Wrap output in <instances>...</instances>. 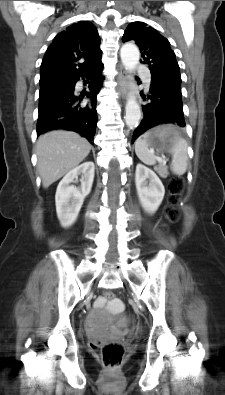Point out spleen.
Masks as SVG:
<instances>
[{"instance_id": "spleen-1", "label": "spleen", "mask_w": 225, "mask_h": 395, "mask_svg": "<svg viewBox=\"0 0 225 395\" xmlns=\"http://www.w3.org/2000/svg\"><path fill=\"white\" fill-rule=\"evenodd\" d=\"M149 132L140 136L135 142V153L137 157L147 165L156 164V156L153 149L148 143ZM172 154L171 170L174 174L182 175L187 170V142L185 139L178 137L176 142L170 148Z\"/></svg>"}]
</instances>
